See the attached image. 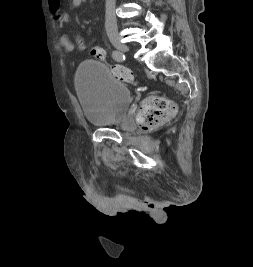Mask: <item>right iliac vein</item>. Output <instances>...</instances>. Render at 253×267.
I'll return each instance as SVG.
<instances>
[{
  "label": "right iliac vein",
  "instance_id": "obj_1",
  "mask_svg": "<svg viewBox=\"0 0 253 267\" xmlns=\"http://www.w3.org/2000/svg\"><path fill=\"white\" fill-rule=\"evenodd\" d=\"M110 41H111V43L113 44V46H114L116 49H118V50H120V51H122V52H126V51H128V46H127L125 43H121V42L118 40V38H116V37L110 38Z\"/></svg>",
  "mask_w": 253,
  "mask_h": 267
}]
</instances>
